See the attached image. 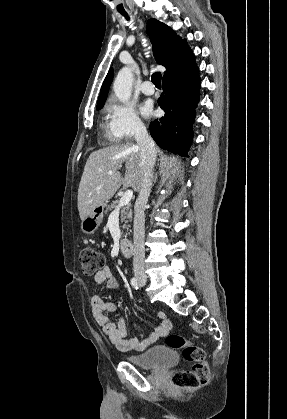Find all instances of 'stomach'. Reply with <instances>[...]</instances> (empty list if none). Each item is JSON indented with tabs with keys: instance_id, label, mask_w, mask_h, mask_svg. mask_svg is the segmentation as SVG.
<instances>
[{
	"instance_id": "0dacf381",
	"label": "stomach",
	"mask_w": 287,
	"mask_h": 419,
	"mask_svg": "<svg viewBox=\"0 0 287 419\" xmlns=\"http://www.w3.org/2000/svg\"><path fill=\"white\" fill-rule=\"evenodd\" d=\"M105 206L95 208L91 214L82 220L81 229L84 233L93 234L98 229L103 220Z\"/></svg>"
}]
</instances>
